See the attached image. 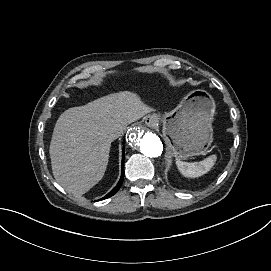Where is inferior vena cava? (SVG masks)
Returning a JSON list of instances; mask_svg holds the SVG:
<instances>
[{
  "mask_svg": "<svg viewBox=\"0 0 271 271\" xmlns=\"http://www.w3.org/2000/svg\"><path fill=\"white\" fill-rule=\"evenodd\" d=\"M120 134H117L115 137L118 138Z\"/></svg>",
  "mask_w": 271,
  "mask_h": 271,
  "instance_id": "1",
  "label": "inferior vena cava"
}]
</instances>
